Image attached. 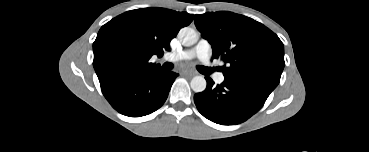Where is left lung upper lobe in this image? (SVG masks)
I'll return each instance as SVG.
<instances>
[{"label":"left lung upper lobe","mask_w":369,"mask_h":152,"mask_svg":"<svg viewBox=\"0 0 369 152\" xmlns=\"http://www.w3.org/2000/svg\"><path fill=\"white\" fill-rule=\"evenodd\" d=\"M195 25L221 58L225 80L249 83L273 91L285 66L284 46L263 24L232 12L195 15Z\"/></svg>","instance_id":"1"}]
</instances>
